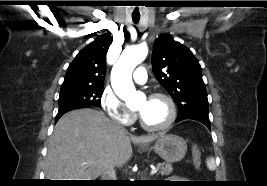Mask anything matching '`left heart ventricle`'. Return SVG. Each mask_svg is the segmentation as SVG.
I'll return each mask as SVG.
<instances>
[{"label": "left heart ventricle", "instance_id": "obj_1", "mask_svg": "<svg viewBox=\"0 0 267 186\" xmlns=\"http://www.w3.org/2000/svg\"><path fill=\"white\" fill-rule=\"evenodd\" d=\"M136 111L143 121L150 126L163 124L169 115L167 103L160 98H143L137 105Z\"/></svg>", "mask_w": 267, "mask_h": 186}]
</instances>
